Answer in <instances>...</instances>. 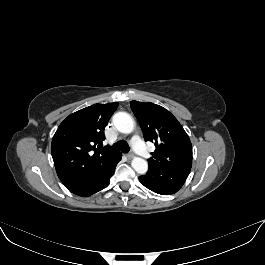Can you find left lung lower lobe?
Listing matches in <instances>:
<instances>
[{"label":"left lung lower lobe","mask_w":265,"mask_h":265,"mask_svg":"<svg viewBox=\"0 0 265 265\" xmlns=\"http://www.w3.org/2000/svg\"><path fill=\"white\" fill-rule=\"evenodd\" d=\"M190 169H162L150 168L139 177V181L151 191L170 195L176 193L185 183Z\"/></svg>","instance_id":"0a47b994"}]
</instances>
